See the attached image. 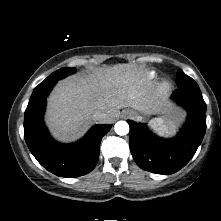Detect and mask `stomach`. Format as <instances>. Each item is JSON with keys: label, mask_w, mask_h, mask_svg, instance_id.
Segmentation results:
<instances>
[{"label": "stomach", "mask_w": 221, "mask_h": 221, "mask_svg": "<svg viewBox=\"0 0 221 221\" xmlns=\"http://www.w3.org/2000/svg\"><path fill=\"white\" fill-rule=\"evenodd\" d=\"M131 113H132V116L137 119V120H141L143 117L139 115L138 112L136 111H133L131 110ZM151 125L156 128L157 130L161 131V132H164V129H163V122L162 121H159V120H152L151 122Z\"/></svg>", "instance_id": "1"}]
</instances>
